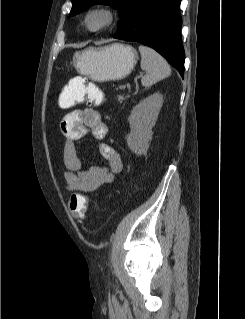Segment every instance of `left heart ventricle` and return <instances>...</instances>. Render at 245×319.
I'll return each mask as SVG.
<instances>
[{
    "mask_svg": "<svg viewBox=\"0 0 245 319\" xmlns=\"http://www.w3.org/2000/svg\"><path fill=\"white\" fill-rule=\"evenodd\" d=\"M100 22V18H94V19H92V24L93 25H96V24H98Z\"/></svg>",
    "mask_w": 245,
    "mask_h": 319,
    "instance_id": "1",
    "label": "left heart ventricle"
}]
</instances>
